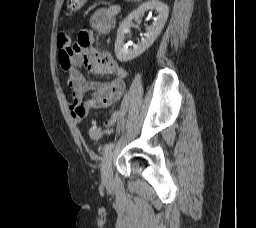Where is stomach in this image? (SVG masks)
<instances>
[{"instance_id":"0dacf381","label":"stomach","mask_w":256,"mask_h":228,"mask_svg":"<svg viewBox=\"0 0 256 228\" xmlns=\"http://www.w3.org/2000/svg\"><path fill=\"white\" fill-rule=\"evenodd\" d=\"M87 0H67V8L71 11L79 10Z\"/></svg>"}]
</instances>
